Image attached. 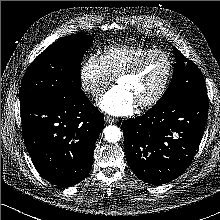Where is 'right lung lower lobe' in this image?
<instances>
[{"instance_id": "98d812e1", "label": "right lung lower lobe", "mask_w": 220, "mask_h": 220, "mask_svg": "<svg viewBox=\"0 0 220 220\" xmlns=\"http://www.w3.org/2000/svg\"><path fill=\"white\" fill-rule=\"evenodd\" d=\"M20 111L25 145L40 175L61 187L82 181L104 127L103 115L86 95L21 103Z\"/></svg>"}]
</instances>
